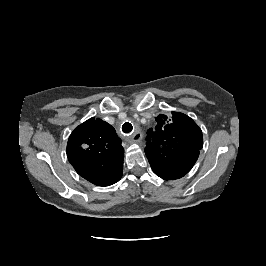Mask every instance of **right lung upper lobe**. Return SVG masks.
Instances as JSON below:
<instances>
[{
    "label": "right lung upper lobe",
    "mask_w": 266,
    "mask_h": 266,
    "mask_svg": "<svg viewBox=\"0 0 266 266\" xmlns=\"http://www.w3.org/2000/svg\"><path fill=\"white\" fill-rule=\"evenodd\" d=\"M115 129L94 117L76 127L67 143V157L76 172L98 186L120 180L124 148Z\"/></svg>",
    "instance_id": "1"
}]
</instances>
